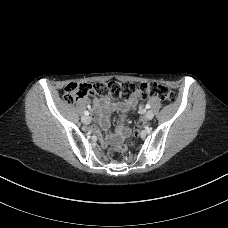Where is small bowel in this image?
Wrapping results in <instances>:
<instances>
[{
  "instance_id": "c3829d8e",
  "label": "small bowel",
  "mask_w": 228,
  "mask_h": 228,
  "mask_svg": "<svg viewBox=\"0 0 228 228\" xmlns=\"http://www.w3.org/2000/svg\"><path fill=\"white\" fill-rule=\"evenodd\" d=\"M137 103L138 100L136 97L130 99L129 101H115L112 97L109 96L95 102L100 116L101 128L106 133L105 139L103 141L105 145H107L109 142H116L122 140L126 138L130 133L129 129L122 124L119 125L118 129L114 134L108 133V129L110 126L109 115L111 111L118 110L122 114V122L124 114H126L130 109L136 108Z\"/></svg>"
}]
</instances>
